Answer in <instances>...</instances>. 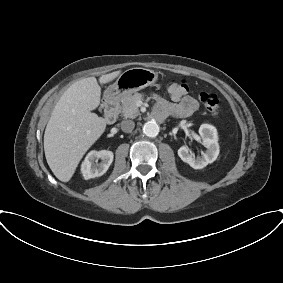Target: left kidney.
Returning <instances> with one entry per match:
<instances>
[{
  "instance_id": "1",
  "label": "left kidney",
  "mask_w": 283,
  "mask_h": 283,
  "mask_svg": "<svg viewBox=\"0 0 283 283\" xmlns=\"http://www.w3.org/2000/svg\"><path fill=\"white\" fill-rule=\"evenodd\" d=\"M202 144L207 148L201 158H195L188 146H181L178 149V156L194 169H203L209 163H213L219 155L218 133L214 126L202 124L199 128Z\"/></svg>"
}]
</instances>
